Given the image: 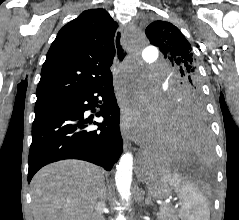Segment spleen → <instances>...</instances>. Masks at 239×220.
I'll list each match as a JSON object with an SVG mask.
<instances>
[{
  "instance_id": "spleen-1",
  "label": "spleen",
  "mask_w": 239,
  "mask_h": 220,
  "mask_svg": "<svg viewBox=\"0 0 239 220\" xmlns=\"http://www.w3.org/2000/svg\"><path fill=\"white\" fill-rule=\"evenodd\" d=\"M163 182L174 187L181 201V220H210L208 202L199 189L177 173H167L160 177Z\"/></svg>"
}]
</instances>
